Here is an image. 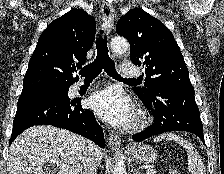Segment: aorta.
<instances>
[{
    "label": "aorta",
    "instance_id": "obj_1",
    "mask_svg": "<svg viewBox=\"0 0 224 174\" xmlns=\"http://www.w3.org/2000/svg\"><path fill=\"white\" fill-rule=\"evenodd\" d=\"M111 49L114 54L122 55L128 51L129 43L123 37H115L111 41ZM113 174H126L124 155L119 156Z\"/></svg>",
    "mask_w": 224,
    "mask_h": 174
}]
</instances>
